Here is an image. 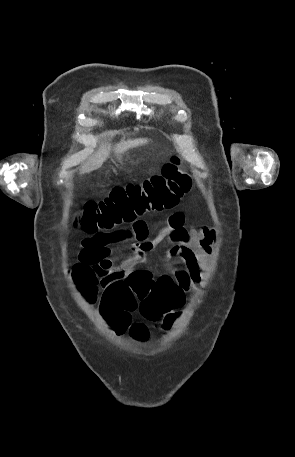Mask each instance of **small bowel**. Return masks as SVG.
<instances>
[{"label":"small bowel","mask_w":295,"mask_h":457,"mask_svg":"<svg viewBox=\"0 0 295 457\" xmlns=\"http://www.w3.org/2000/svg\"><path fill=\"white\" fill-rule=\"evenodd\" d=\"M148 234L149 225L143 219L136 220L127 229L97 231L82 240L78 254L79 261L91 264L111 262L108 257L109 246L116 242L130 240L132 253L120 264V270L126 277L131 271L138 270L136 267L145 262L150 251L168 240L171 243L167 250L169 273L159 278L169 277L173 280L178 291V308H180L184 304L185 294L199 285L202 273L208 267L216 239L215 231L208 227L186 228L184 213L176 211L167 218L153 239H149ZM101 285L105 287L104 282ZM136 339L142 341V339Z\"/></svg>","instance_id":"small-bowel-1"}]
</instances>
